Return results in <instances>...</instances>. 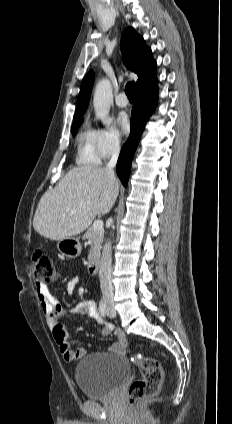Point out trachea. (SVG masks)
<instances>
[{"label": "trachea", "mask_w": 232, "mask_h": 424, "mask_svg": "<svg viewBox=\"0 0 232 424\" xmlns=\"http://www.w3.org/2000/svg\"><path fill=\"white\" fill-rule=\"evenodd\" d=\"M125 92L129 100H134L135 83L133 81L127 83Z\"/></svg>", "instance_id": "trachea-1"}]
</instances>
